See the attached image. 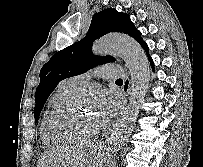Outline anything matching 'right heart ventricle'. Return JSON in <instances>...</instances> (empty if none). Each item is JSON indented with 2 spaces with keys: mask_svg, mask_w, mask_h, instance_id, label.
Returning a JSON list of instances; mask_svg holds the SVG:
<instances>
[{
  "mask_svg": "<svg viewBox=\"0 0 203 167\" xmlns=\"http://www.w3.org/2000/svg\"><path fill=\"white\" fill-rule=\"evenodd\" d=\"M75 91L77 90L74 87L66 83H62L50 96L40 123V136L45 145L59 146L69 143L52 132L50 128V121L54 114L65 104Z\"/></svg>",
  "mask_w": 203,
  "mask_h": 167,
  "instance_id": "right-heart-ventricle-1",
  "label": "right heart ventricle"
}]
</instances>
